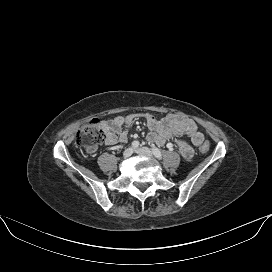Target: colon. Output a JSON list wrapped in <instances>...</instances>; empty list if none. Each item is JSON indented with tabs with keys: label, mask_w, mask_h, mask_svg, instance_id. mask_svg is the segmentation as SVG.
<instances>
[{
	"label": "colon",
	"mask_w": 272,
	"mask_h": 272,
	"mask_svg": "<svg viewBox=\"0 0 272 272\" xmlns=\"http://www.w3.org/2000/svg\"><path fill=\"white\" fill-rule=\"evenodd\" d=\"M105 138V133L101 126L99 125L98 119H90L85 122L79 129L75 142L78 146L89 148L100 142ZM210 149L207 142L203 143L200 147L201 152L206 153Z\"/></svg>",
	"instance_id": "colon-1"
}]
</instances>
